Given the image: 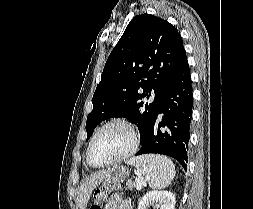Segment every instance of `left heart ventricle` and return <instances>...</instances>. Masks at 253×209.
<instances>
[{
	"mask_svg": "<svg viewBox=\"0 0 253 209\" xmlns=\"http://www.w3.org/2000/svg\"><path fill=\"white\" fill-rule=\"evenodd\" d=\"M130 143V133L124 126H109L95 139L92 146V160L96 164L108 162L122 154Z\"/></svg>",
	"mask_w": 253,
	"mask_h": 209,
	"instance_id": "left-heart-ventricle-1",
	"label": "left heart ventricle"
}]
</instances>
